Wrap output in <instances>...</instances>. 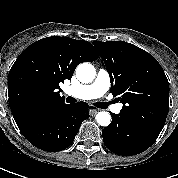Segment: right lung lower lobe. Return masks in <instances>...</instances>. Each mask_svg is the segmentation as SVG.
I'll use <instances>...</instances> for the list:
<instances>
[{"mask_svg": "<svg viewBox=\"0 0 178 178\" xmlns=\"http://www.w3.org/2000/svg\"><path fill=\"white\" fill-rule=\"evenodd\" d=\"M88 104L78 102L36 112L16 123L24 137L44 151H61L69 147L89 117Z\"/></svg>", "mask_w": 178, "mask_h": 178, "instance_id": "1", "label": "right lung lower lobe"}]
</instances>
